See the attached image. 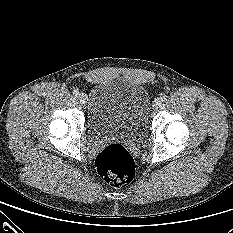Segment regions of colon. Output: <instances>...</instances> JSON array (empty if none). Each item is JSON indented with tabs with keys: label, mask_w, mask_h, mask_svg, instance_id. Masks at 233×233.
Instances as JSON below:
<instances>
[{
	"label": "colon",
	"mask_w": 233,
	"mask_h": 233,
	"mask_svg": "<svg viewBox=\"0 0 233 233\" xmlns=\"http://www.w3.org/2000/svg\"><path fill=\"white\" fill-rule=\"evenodd\" d=\"M100 176L114 187L126 185L133 177L135 164L128 150L121 144L106 146L96 158Z\"/></svg>",
	"instance_id": "colon-1"
}]
</instances>
